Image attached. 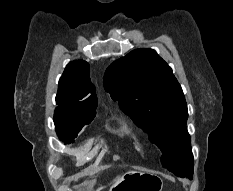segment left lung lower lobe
<instances>
[{"instance_id":"left-lung-lower-lobe-1","label":"left lung lower lobe","mask_w":233,"mask_h":191,"mask_svg":"<svg viewBox=\"0 0 233 191\" xmlns=\"http://www.w3.org/2000/svg\"><path fill=\"white\" fill-rule=\"evenodd\" d=\"M192 175H193V171H187V172H185L183 174H180V175H177V176H179V177H185V176H187L188 178L192 179L193 178Z\"/></svg>"}]
</instances>
